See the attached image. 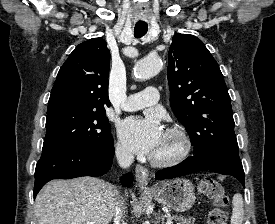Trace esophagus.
Masks as SVG:
<instances>
[{
  "instance_id": "1",
  "label": "esophagus",
  "mask_w": 275,
  "mask_h": 224,
  "mask_svg": "<svg viewBox=\"0 0 275 224\" xmlns=\"http://www.w3.org/2000/svg\"><path fill=\"white\" fill-rule=\"evenodd\" d=\"M136 180L140 187L146 188L149 179V171L144 166L137 164L135 168Z\"/></svg>"
}]
</instances>
